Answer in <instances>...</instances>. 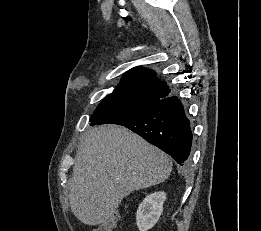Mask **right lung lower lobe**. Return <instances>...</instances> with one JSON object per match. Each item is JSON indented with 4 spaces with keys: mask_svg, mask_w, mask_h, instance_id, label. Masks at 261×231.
Here are the masks:
<instances>
[{
    "mask_svg": "<svg viewBox=\"0 0 261 231\" xmlns=\"http://www.w3.org/2000/svg\"><path fill=\"white\" fill-rule=\"evenodd\" d=\"M115 124L137 133L168 153L179 165L188 164L192 131L186 111L176 96L166 97L141 113Z\"/></svg>",
    "mask_w": 261,
    "mask_h": 231,
    "instance_id": "right-lung-lower-lobe-1",
    "label": "right lung lower lobe"
}]
</instances>
